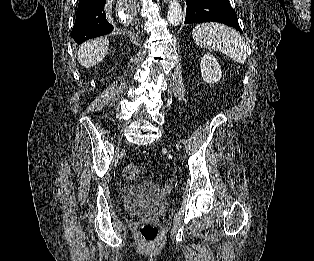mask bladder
I'll use <instances>...</instances> for the list:
<instances>
[{
	"instance_id": "31cf9c89",
	"label": "bladder",
	"mask_w": 314,
	"mask_h": 261,
	"mask_svg": "<svg viewBox=\"0 0 314 261\" xmlns=\"http://www.w3.org/2000/svg\"><path fill=\"white\" fill-rule=\"evenodd\" d=\"M168 205V197L157 184L138 182L123 194V206L130 213L160 216Z\"/></svg>"
}]
</instances>
